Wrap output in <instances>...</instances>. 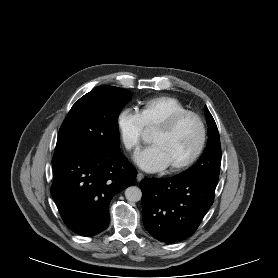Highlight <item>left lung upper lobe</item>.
I'll use <instances>...</instances> for the list:
<instances>
[{"label": "left lung upper lobe", "mask_w": 278, "mask_h": 278, "mask_svg": "<svg viewBox=\"0 0 278 278\" xmlns=\"http://www.w3.org/2000/svg\"><path fill=\"white\" fill-rule=\"evenodd\" d=\"M205 115L209 135L207 147L195 165L176 176L209 180L217 183L221 164L220 137L216 123L206 106Z\"/></svg>", "instance_id": "obj_1"}]
</instances>
